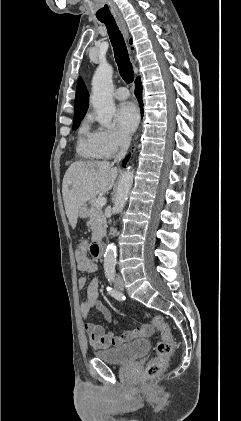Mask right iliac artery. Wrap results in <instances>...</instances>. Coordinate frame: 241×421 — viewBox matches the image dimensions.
Wrapping results in <instances>:
<instances>
[{
    "label": "right iliac artery",
    "mask_w": 241,
    "mask_h": 421,
    "mask_svg": "<svg viewBox=\"0 0 241 421\" xmlns=\"http://www.w3.org/2000/svg\"><path fill=\"white\" fill-rule=\"evenodd\" d=\"M107 291L115 299H117L119 301L125 300V296L123 294H121L120 292H118L117 290L113 289L112 287L108 286Z\"/></svg>",
    "instance_id": "obj_1"
}]
</instances>
